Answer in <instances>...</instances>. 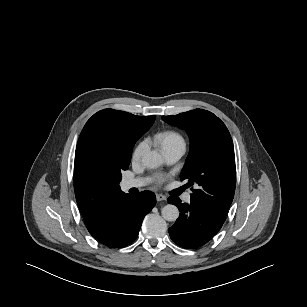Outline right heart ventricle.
<instances>
[{"instance_id":"1","label":"right heart ventricle","mask_w":307,"mask_h":307,"mask_svg":"<svg viewBox=\"0 0 307 307\" xmlns=\"http://www.w3.org/2000/svg\"><path fill=\"white\" fill-rule=\"evenodd\" d=\"M156 140L163 151L172 146L185 145L183 137L175 131L160 132L156 135Z\"/></svg>"}]
</instances>
